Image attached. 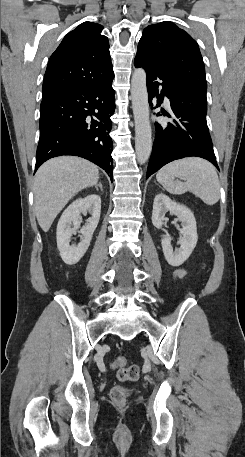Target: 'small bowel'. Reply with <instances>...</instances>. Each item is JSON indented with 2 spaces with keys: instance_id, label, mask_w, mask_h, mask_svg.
Wrapping results in <instances>:
<instances>
[{
  "instance_id": "c3829d8e",
  "label": "small bowel",
  "mask_w": 245,
  "mask_h": 457,
  "mask_svg": "<svg viewBox=\"0 0 245 457\" xmlns=\"http://www.w3.org/2000/svg\"><path fill=\"white\" fill-rule=\"evenodd\" d=\"M186 275V270L185 269H176L173 273V277L175 279H180L183 278Z\"/></svg>"
}]
</instances>
